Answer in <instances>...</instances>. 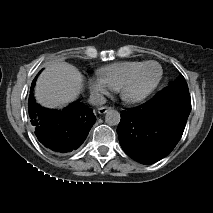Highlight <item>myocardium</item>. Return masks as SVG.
<instances>
[{
  "mask_svg": "<svg viewBox=\"0 0 213 213\" xmlns=\"http://www.w3.org/2000/svg\"><path fill=\"white\" fill-rule=\"evenodd\" d=\"M147 65H155L158 68V76L156 81L154 82V84L145 92H143L142 94H139L137 96H129L127 94V89L128 87L132 84V82L135 80L136 76L138 75V73ZM162 75H163V71L161 66L155 62V61H145L143 63H141L137 68H135L130 75L121 83L118 92H119V96L121 98L122 101H124L125 103H129V104H134V103H138L141 102L142 100H144L146 97H148L159 85L161 79H162Z\"/></svg>",
  "mask_w": 213,
  "mask_h": 213,
  "instance_id": "f54148a6",
  "label": "myocardium"
}]
</instances>
